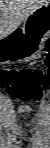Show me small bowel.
<instances>
[{
	"instance_id": "1",
	"label": "small bowel",
	"mask_w": 50,
	"mask_h": 148,
	"mask_svg": "<svg viewBox=\"0 0 50 148\" xmlns=\"http://www.w3.org/2000/svg\"><path fill=\"white\" fill-rule=\"evenodd\" d=\"M32 108L28 105H21L18 107L17 111L18 112H26V111H31ZM15 126V130H16V138L12 143H7L6 141H4L3 143V147H11V148H19L22 147L20 145L21 141H23L24 139H26L27 134L24 131L23 128H21L20 126ZM34 147H39V148H45L47 147L46 144H39L37 146Z\"/></svg>"
}]
</instances>
